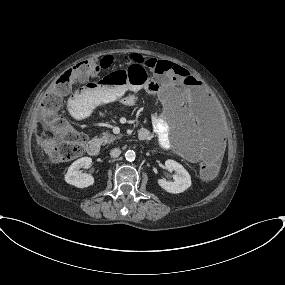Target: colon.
<instances>
[{
    "label": "colon",
    "mask_w": 285,
    "mask_h": 285,
    "mask_svg": "<svg viewBox=\"0 0 285 285\" xmlns=\"http://www.w3.org/2000/svg\"><path fill=\"white\" fill-rule=\"evenodd\" d=\"M112 60L104 57L99 61L87 59L78 63L75 67L63 73L52 86L44 93L38 103V113L41 118L54 120L58 124L63 143L47 152V157L52 162H62L76 159L82 156L86 136L78 132L71 124L58 119V114L64 97L70 88L78 83L99 81L104 85H122L132 82L134 86H145L150 93H155L157 87L152 82H147V71L156 74L165 80L172 77L177 80L188 78L186 71L179 65L169 61L153 59L127 62L124 69L109 72ZM218 172L217 159L204 161L200 166V176L204 181L212 179Z\"/></svg>",
    "instance_id": "obj_1"
}]
</instances>
